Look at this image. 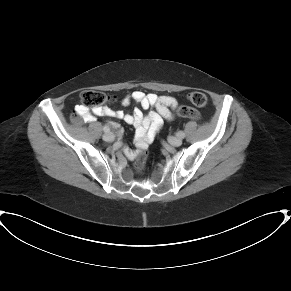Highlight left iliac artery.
Listing matches in <instances>:
<instances>
[{"instance_id": "left-iliac-artery-1", "label": "left iliac artery", "mask_w": 291, "mask_h": 291, "mask_svg": "<svg viewBox=\"0 0 291 291\" xmlns=\"http://www.w3.org/2000/svg\"><path fill=\"white\" fill-rule=\"evenodd\" d=\"M176 135L179 137V138H184L185 137V133L183 131H179L176 133Z\"/></svg>"}]
</instances>
